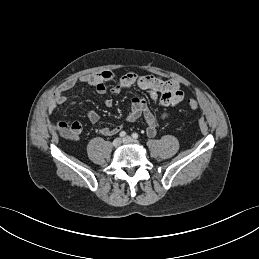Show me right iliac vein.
<instances>
[{
	"label": "right iliac vein",
	"mask_w": 259,
	"mask_h": 259,
	"mask_svg": "<svg viewBox=\"0 0 259 259\" xmlns=\"http://www.w3.org/2000/svg\"><path fill=\"white\" fill-rule=\"evenodd\" d=\"M121 142H122V140L120 139V138H116L114 141H113V146L115 147V148H117V147H119L120 145H121Z\"/></svg>",
	"instance_id": "obj_1"
}]
</instances>
